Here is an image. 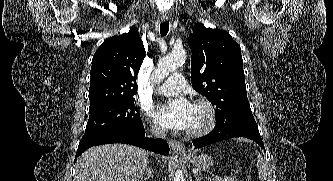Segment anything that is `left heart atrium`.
Masks as SVG:
<instances>
[{
	"mask_svg": "<svg viewBox=\"0 0 333 181\" xmlns=\"http://www.w3.org/2000/svg\"><path fill=\"white\" fill-rule=\"evenodd\" d=\"M153 116L164 127L188 129L193 119V105L187 99L178 97L158 106Z\"/></svg>",
	"mask_w": 333,
	"mask_h": 181,
	"instance_id": "left-heart-atrium-1",
	"label": "left heart atrium"
}]
</instances>
